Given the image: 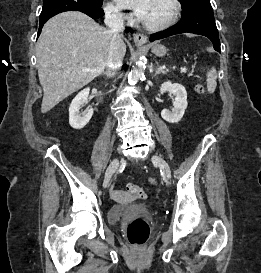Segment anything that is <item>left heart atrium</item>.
<instances>
[{
    "mask_svg": "<svg viewBox=\"0 0 261 273\" xmlns=\"http://www.w3.org/2000/svg\"><path fill=\"white\" fill-rule=\"evenodd\" d=\"M122 6L133 11V15L140 21H144L151 0H117Z\"/></svg>",
    "mask_w": 261,
    "mask_h": 273,
    "instance_id": "left-heart-atrium-1",
    "label": "left heart atrium"
}]
</instances>
